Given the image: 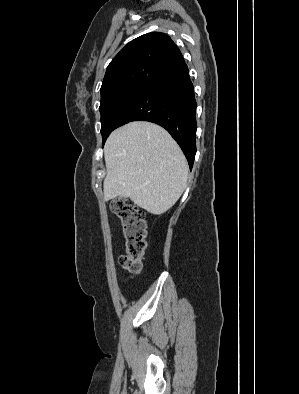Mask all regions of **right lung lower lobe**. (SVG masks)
Here are the masks:
<instances>
[{"mask_svg":"<svg viewBox=\"0 0 299 394\" xmlns=\"http://www.w3.org/2000/svg\"><path fill=\"white\" fill-rule=\"evenodd\" d=\"M138 120L164 127L179 144L192 168L196 154V100L185 62L142 92L114 129Z\"/></svg>","mask_w":299,"mask_h":394,"instance_id":"obj_1","label":"right lung lower lobe"}]
</instances>
